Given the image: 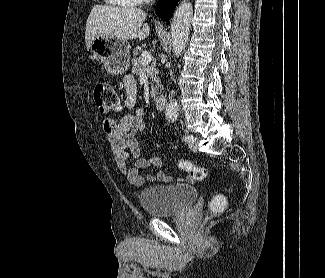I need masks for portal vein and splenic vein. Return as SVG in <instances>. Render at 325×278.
<instances>
[{"label":"portal vein and splenic vein","mask_w":325,"mask_h":278,"mask_svg":"<svg viewBox=\"0 0 325 278\" xmlns=\"http://www.w3.org/2000/svg\"><path fill=\"white\" fill-rule=\"evenodd\" d=\"M151 62V54L148 51H143L141 53V63L143 66L148 65Z\"/></svg>","instance_id":"portal-vein-and-splenic-vein-1"}]
</instances>
